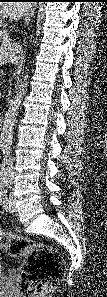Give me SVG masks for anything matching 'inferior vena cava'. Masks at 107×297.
Instances as JSON below:
<instances>
[{"label":"inferior vena cava","mask_w":107,"mask_h":297,"mask_svg":"<svg viewBox=\"0 0 107 297\" xmlns=\"http://www.w3.org/2000/svg\"><path fill=\"white\" fill-rule=\"evenodd\" d=\"M1 37L8 38V33L6 31L1 32ZM12 166H13L12 159L9 157H6V159L3 162V171L6 173V176L9 181L12 179V174H13Z\"/></svg>","instance_id":"602c4592"}]
</instances>
